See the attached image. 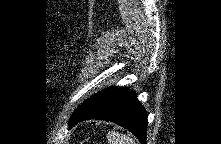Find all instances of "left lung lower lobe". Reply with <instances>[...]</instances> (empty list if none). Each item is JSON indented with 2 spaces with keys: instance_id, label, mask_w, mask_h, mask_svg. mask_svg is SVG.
<instances>
[{
  "instance_id": "1",
  "label": "left lung lower lobe",
  "mask_w": 221,
  "mask_h": 144,
  "mask_svg": "<svg viewBox=\"0 0 221 144\" xmlns=\"http://www.w3.org/2000/svg\"><path fill=\"white\" fill-rule=\"evenodd\" d=\"M136 97L129 88L111 87L93 108L71 121L69 126L86 119L111 121L128 129L146 144L147 113Z\"/></svg>"
}]
</instances>
